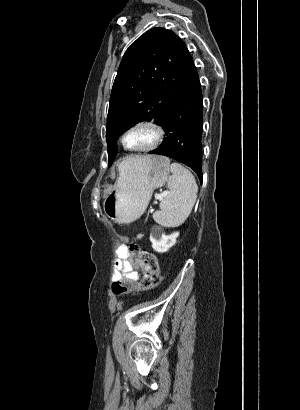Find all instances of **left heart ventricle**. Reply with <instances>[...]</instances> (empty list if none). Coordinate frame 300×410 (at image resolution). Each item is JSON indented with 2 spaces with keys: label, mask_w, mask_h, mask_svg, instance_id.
I'll return each mask as SVG.
<instances>
[{
  "label": "left heart ventricle",
  "mask_w": 300,
  "mask_h": 410,
  "mask_svg": "<svg viewBox=\"0 0 300 410\" xmlns=\"http://www.w3.org/2000/svg\"><path fill=\"white\" fill-rule=\"evenodd\" d=\"M154 140V133L148 128H138L127 134L125 143L128 147L139 148L150 144Z\"/></svg>",
  "instance_id": "obj_1"
}]
</instances>
